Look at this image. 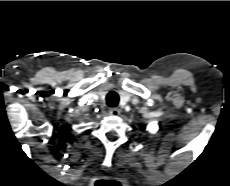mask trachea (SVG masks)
<instances>
[{"instance_id":"trachea-1","label":"trachea","mask_w":230,"mask_h":186,"mask_svg":"<svg viewBox=\"0 0 230 186\" xmlns=\"http://www.w3.org/2000/svg\"><path fill=\"white\" fill-rule=\"evenodd\" d=\"M106 103L109 107H116L119 103V95L115 91H110L106 95Z\"/></svg>"}]
</instances>
